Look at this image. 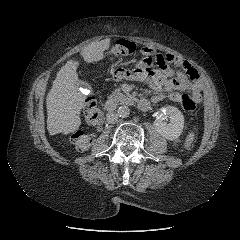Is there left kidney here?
Wrapping results in <instances>:
<instances>
[{"mask_svg": "<svg viewBox=\"0 0 240 240\" xmlns=\"http://www.w3.org/2000/svg\"><path fill=\"white\" fill-rule=\"evenodd\" d=\"M169 117L170 122L167 123L164 117ZM156 131L164 138L169 140L177 139L184 128V116L180 110L174 106H166L160 109V114L153 123Z\"/></svg>", "mask_w": 240, "mask_h": 240, "instance_id": "5707ae66", "label": "left kidney"}]
</instances>
